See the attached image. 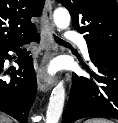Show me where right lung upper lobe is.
<instances>
[{
	"mask_svg": "<svg viewBox=\"0 0 118 123\" xmlns=\"http://www.w3.org/2000/svg\"><path fill=\"white\" fill-rule=\"evenodd\" d=\"M44 3L45 0H0V49L36 34L31 18L40 15Z\"/></svg>",
	"mask_w": 118,
	"mask_h": 123,
	"instance_id": "cb5924a9",
	"label": "right lung upper lobe"
}]
</instances>
